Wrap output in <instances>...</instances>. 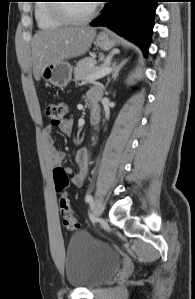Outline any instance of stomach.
Returning <instances> with one entry per match:
<instances>
[{
	"mask_svg": "<svg viewBox=\"0 0 195 299\" xmlns=\"http://www.w3.org/2000/svg\"><path fill=\"white\" fill-rule=\"evenodd\" d=\"M116 44V38L107 32H101L95 38V45L104 51L112 49ZM41 77L56 87H66L72 78V66L65 61L48 64L43 69Z\"/></svg>",
	"mask_w": 195,
	"mask_h": 299,
	"instance_id": "1",
	"label": "stomach"
}]
</instances>
